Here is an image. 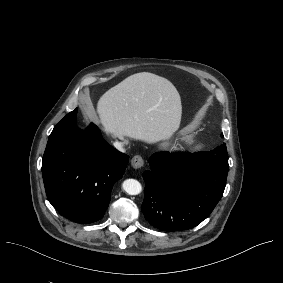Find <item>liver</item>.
Returning a JSON list of instances; mask_svg holds the SVG:
<instances>
[{"label":"liver","instance_id":"liver-1","mask_svg":"<svg viewBox=\"0 0 283 283\" xmlns=\"http://www.w3.org/2000/svg\"><path fill=\"white\" fill-rule=\"evenodd\" d=\"M97 113L103 130L113 138L156 143L169 139L179 129L182 105L168 79L141 72L105 92L98 101ZM87 115L93 118V114Z\"/></svg>","mask_w":283,"mask_h":283}]
</instances>
